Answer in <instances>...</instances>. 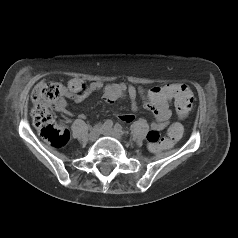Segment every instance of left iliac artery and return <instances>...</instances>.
Instances as JSON below:
<instances>
[{"label":"left iliac artery","mask_w":238,"mask_h":238,"mask_svg":"<svg viewBox=\"0 0 238 238\" xmlns=\"http://www.w3.org/2000/svg\"><path fill=\"white\" fill-rule=\"evenodd\" d=\"M114 129H115L116 131H118V132L123 133V128H122V126H121L120 124H118V123L115 124Z\"/></svg>","instance_id":"obj_1"}]
</instances>
